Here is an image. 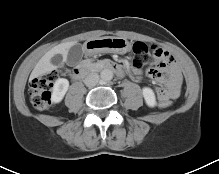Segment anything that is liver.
Instances as JSON below:
<instances>
[{
	"mask_svg": "<svg viewBox=\"0 0 219 174\" xmlns=\"http://www.w3.org/2000/svg\"><path fill=\"white\" fill-rule=\"evenodd\" d=\"M75 43L76 42L62 43V44H59V45L53 47L51 50H49L44 56H42V58L38 61V63L34 67L32 73L30 75V80L56 69L57 66H55L54 64L51 63V59L55 55H57V54L62 55L63 61L65 62L67 59L69 49L73 45H75Z\"/></svg>",
	"mask_w": 219,
	"mask_h": 174,
	"instance_id": "obj_1",
	"label": "liver"
}]
</instances>
